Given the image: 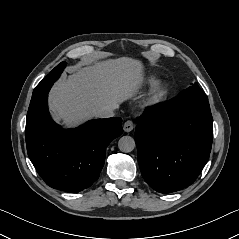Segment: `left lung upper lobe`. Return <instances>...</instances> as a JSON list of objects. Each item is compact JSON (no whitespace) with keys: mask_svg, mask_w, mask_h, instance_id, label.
<instances>
[{"mask_svg":"<svg viewBox=\"0 0 239 239\" xmlns=\"http://www.w3.org/2000/svg\"><path fill=\"white\" fill-rule=\"evenodd\" d=\"M185 94H194V95H199V96H205V93L200 89V87L197 85V83L191 85L189 88H187L185 91H183L178 96L185 95Z\"/></svg>","mask_w":239,"mask_h":239,"instance_id":"5c2ea615","label":"left lung upper lobe"}]
</instances>
